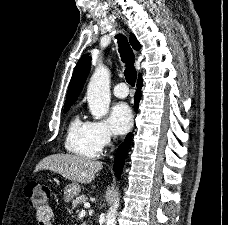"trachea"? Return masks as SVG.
I'll return each mask as SVG.
<instances>
[{
	"instance_id": "3493384b",
	"label": "trachea",
	"mask_w": 228,
	"mask_h": 225,
	"mask_svg": "<svg viewBox=\"0 0 228 225\" xmlns=\"http://www.w3.org/2000/svg\"><path fill=\"white\" fill-rule=\"evenodd\" d=\"M118 40L119 45V53L121 56V59L123 63H125V71L124 75L126 78V81L132 86H135L136 78H137V72L134 67V53L127 41V38L125 36L117 35L116 36Z\"/></svg>"
}]
</instances>
